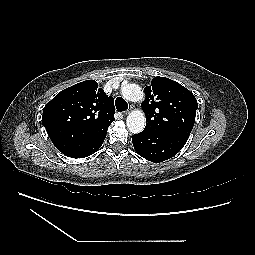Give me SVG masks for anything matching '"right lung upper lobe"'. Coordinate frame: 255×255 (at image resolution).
<instances>
[{"label": "right lung upper lobe", "mask_w": 255, "mask_h": 255, "mask_svg": "<svg viewBox=\"0 0 255 255\" xmlns=\"http://www.w3.org/2000/svg\"><path fill=\"white\" fill-rule=\"evenodd\" d=\"M114 99L95 80L62 90L43 109L42 124L59 151L71 157L114 121Z\"/></svg>", "instance_id": "cb5924a9"}]
</instances>
